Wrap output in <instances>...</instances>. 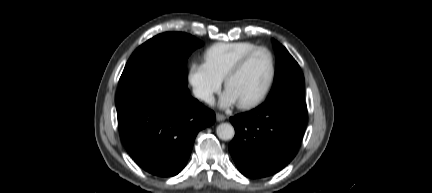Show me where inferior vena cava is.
<instances>
[{
  "label": "inferior vena cava",
  "instance_id": "inferior-vena-cava-1",
  "mask_svg": "<svg viewBox=\"0 0 432 193\" xmlns=\"http://www.w3.org/2000/svg\"><path fill=\"white\" fill-rule=\"evenodd\" d=\"M193 93L197 98H200L207 103H214L215 101L213 94L208 90L198 88L194 89Z\"/></svg>",
  "mask_w": 432,
  "mask_h": 193
}]
</instances>
